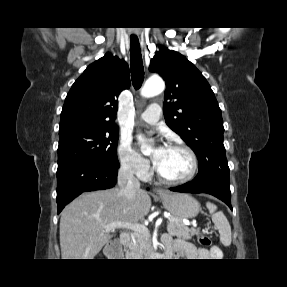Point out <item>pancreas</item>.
<instances>
[{
  "instance_id": "obj_1",
  "label": "pancreas",
  "mask_w": 287,
  "mask_h": 287,
  "mask_svg": "<svg viewBox=\"0 0 287 287\" xmlns=\"http://www.w3.org/2000/svg\"><path fill=\"white\" fill-rule=\"evenodd\" d=\"M167 231L169 234L185 240H190L192 236L199 234V230L188 228L181 218L175 216L169 219ZM131 240L129 244L130 252L127 253V256L142 258L149 255L152 250L149 232H135Z\"/></svg>"
}]
</instances>
